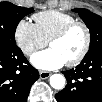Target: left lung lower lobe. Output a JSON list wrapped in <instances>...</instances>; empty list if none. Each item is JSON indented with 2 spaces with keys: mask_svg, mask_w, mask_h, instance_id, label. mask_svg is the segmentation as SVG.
I'll return each instance as SVG.
<instances>
[{
  "mask_svg": "<svg viewBox=\"0 0 102 102\" xmlns=\"http://www.w3.org/2000/svg\"><path fill=\"white\" fill-rule=\"evenodd\" d=\"M63 74L67 85L56 94L58 102H102V49L87 53L75 69Z\"/></svg>",
  "mask_w": 102,
  "mask_h": 102,
  "instance_id": "obj_1",
  "label": "left lung lower lobe"
}]
</instances>
